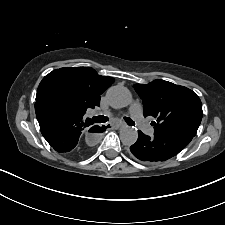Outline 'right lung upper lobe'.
I'll list each match as a JSON object with an SVG mask.
<instances>
[{"label":"right lung upper lobe","instance_id":"obj_1","mask_svg":"<svg viewBox=\"0 0 225 225\" xmlns=\"http://www.w3.org/2000/svg\"><path fill=\"white\" fill-rule=\"evenodd\" d=\"M113 82L114 78L98 75L90 67L56 69L39 84L36 103L83 116L88 108L100 105V95Z\"/></svg>","mask_w":225,"mask_h":225}]
</instances>
